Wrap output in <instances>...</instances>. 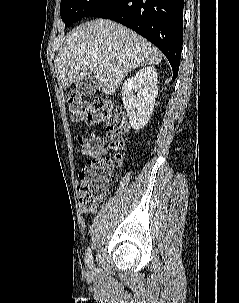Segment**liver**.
<instances>
[{"label": "liver", "mask_w": 239, "mask_h": 303, "mask_svg": "<svg viewBox=\"0 0 239 303\" xmlns=\"http://www.w3.org/2000/svg\"><path fill=\"white\" fill-rule=\"evenodd\" d=\"M161 60L159 50L142 36L116 22L98 19L68 34L56 60L58 81L66 90L95 75L102 92L114 95L133 69L157 65Z\"/></svg>", "instance_id": "obj_1"}]
</instances>
